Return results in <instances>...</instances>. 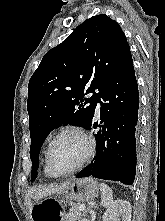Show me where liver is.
Instances as JSON below:
<instances>
[{
	"instance_id": "liver-1",
	"label": "liver",
	"mask_w": 165,
	"mask_h": 221,
	"mask_svg": "<svg viewBox=\"0 0 165 221\" xmlns=\"http://www.w3.org/2000/svg\"><path fill=\"white\" fill-rule=\"evenodd\" d=\"M65 185L66 183L61 184L59 186H54V187H48V188H43V189L35 188V189L29 190L26 194V200L28 203L29 211L31 212L33 208V205L30 202L31 197L35 196V197L41 198V197L51 195L53 193L61 191L65 187Z\"/></svg>"
}]
</instances>
